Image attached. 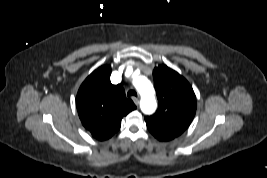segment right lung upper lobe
I'll return each mask as SVG.
<instances>
[{"label":"right lung upper lobe","instance_id":"1","mask_svg":"<svg viewBox=\"0 0 267 178\" xmlns=\"http://www.w3.org/2000/svg\"><path fill=\"white\" fill-rule=\"evenodd\" d=\"M111 69L104 65L93 71L80 86L76 106L82 125L91 135L104 141L120 128L121 120L136 109L126 98L123 87L110 82Z\"/></svg>","mask_w":267,"mask_h":178}]
</instances>
